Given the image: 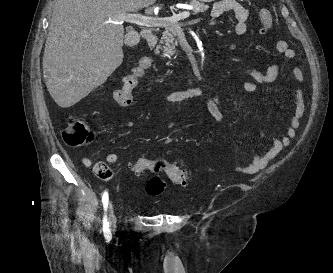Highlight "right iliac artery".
Segmentation results:
<instances>
[{
	"instance_id": "obj_1",
	"label": "right iliac artery",
	"mask_w": 333,
	"mask_h": 273,
	"mask_svg": "<svg viewBox=\"0 0 333 273\" xmlns=\"http://www.w3.org/2000/svg\"><path fill=\"white\" fill-rule=\"evenodd\" d=\"M108 192L105 191L103 193L102 196V203H103V207H104V217H103V234L105 239L110 240L112 235H111V231L109 229V222L107 221V215H106V211H107V207H108Z\"/></svg>"
}]
</instances>
